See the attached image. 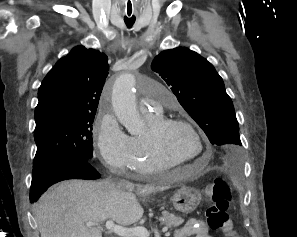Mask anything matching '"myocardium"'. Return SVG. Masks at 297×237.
<instances>
[{
  "instance_id": "1",
  "label": "myocardium",
  "mask_w": 297,
  "mask_h": 237,
  "mask_svg": "<svg viewBox=\"0 0 297 237\" xmlns=\"http://www.w3.org/2000/svg\"><path fill=\"white\" fill-rule=\"evenodd\" d=\"M175 126H182L185 127L197 140L199 144V152L196 157L193 158H178L174 155L170 154L162 145L161 142V135L164 132L165 129L169 127H175ZM146 140L152 150V152L155 154V156L161 160L162 162H165L167 164L175 165V166H181L184 164L195 162L199 159V157L203 154L205 149L204 141L202 140L199 133L196 131L194 126L181 118H164L160 117L155 122H153L146 131L145 134Z\"/></svg>"
}]
</instances>
